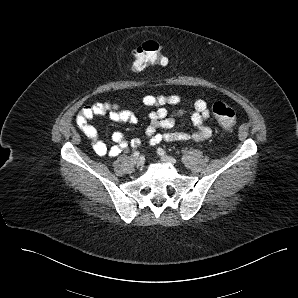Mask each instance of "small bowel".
<instances>
[{"label": "small bowel", "instance_id": "c3829d8e", "mask_svg": "<svg viewBox=\"0 0 298 298\" xmlns=\"http://www.w3.org/2000/svg\"><path fill=\"white\" fill-rule=\"evenodd\" d=\"M143 105L155 107L156 109L149 114V125L145 133L151 145L162 142H198L210 138L212 129L205 124L210 116L208 103L203 99H198L190 104L191 110L179 109L173 114H169L167 106H178L182 103V98L178 94L171 95H146L141 99ZM189 115L195 129L191 132L170 131L175 126L176 117ZM107 115L111 121L136 124L137 116L129 111L122 110L119 104L110 102H98L84 106L76 116V124L91 141L94 152L99 156L116 157L120 155L129 145L125 136L115 131L112 133L114 144L108 146L98 138L97 129L91 124L95 117ZM163 130V131H160ZM130 144L134 147L141 144L140 139L134 138Z\"/></svg>", "mask_w": 298, "mask_h": 298}]
</instances>
